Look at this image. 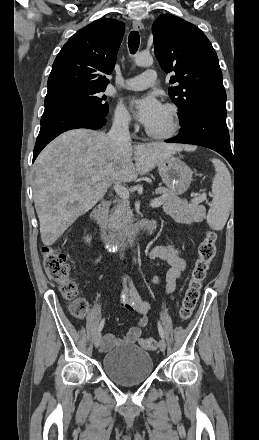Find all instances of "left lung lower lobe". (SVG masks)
I'll list each match as a JSON object with an SVG mask.
<instances>
[{
	"label": "left lung lower lobe",
	"instance_id": "1",
	"mask_svg": "<svg viewBox=\"0 0 259 440\" xmlns=\"http://www.w3.org/2000/svg\"><path fill=\"white\" fill-rule=\"evenodd\" d=\"M226 108L206 105L195 110L187 121L181 124V132L166 142L200 145L210 148L229 163H233L229 132L226 125Z\"/></svg>",
	"mask_w": 259,
	"mask_h": 440
}]
</instances>
